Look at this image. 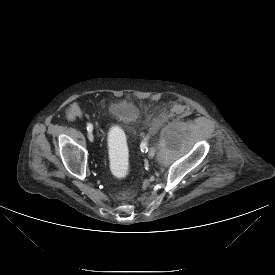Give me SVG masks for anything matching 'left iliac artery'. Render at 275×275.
Here are the masks:
<instances>
[{
    "label": "left iliac artery",
    "instance_id": "obj_1",
    "mask_svg": "<svg viewBox=\"0 0 275 275\" xmlns=\"http://www.w3.org/2000/svg\"><path fill=\"white\" fill-rule=\"evenodd\" d=\"M141 150H142V152H144V150H146V149H145V147H143ZM147 150H148V149H147ZM147 150H146V152H147Z\"/></svg>",
    "mask_w": 275,
    "mask_h": 275
}]
</instances>
